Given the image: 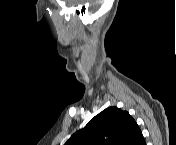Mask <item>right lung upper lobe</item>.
I'll return each instance as SVG.
<instances>
[{
	"label": "right lung upper lobe",
	"mask_w": 176,
	"mask_h": 145,
	"mask_svg": "<svg viewBox=\"0 0 176 145\" xmlns=\"http://www.w3.org/2000/svg\"><path fill=\"white\" fill-rule=\"evenodd\" d=\"M65 145H145V140L127 111L109 107L74 133Z\"/></svg>",
	"instance_id": "right-lung-upper-lobe-1"
}]
</instances>
